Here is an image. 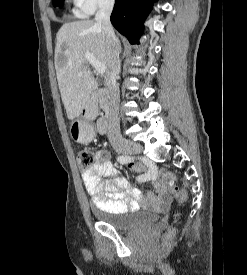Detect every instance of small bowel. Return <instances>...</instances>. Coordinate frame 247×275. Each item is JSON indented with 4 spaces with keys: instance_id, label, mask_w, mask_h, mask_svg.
Wrapping results in <instances>:
<instances>
[{
    "instance_id": "small-bowel-1",
    "label": "small bowel",
    "mask_w": 247,
    "mask_h": 275,
    "mask_svg": "<svg viewBox=\"0 0 247 275\" xmlns=\"http://www.w3.org/2000/svg\"><path fill=\"white\" fill-rule=\"evenodd\" d=\"M132 169L143 172L145 167L138 164ZM82 180L94 206L109 212L133 211L147 203L157 208H166L172 200L170 191L160 177L152 180L156 193H149L145 198L141 191L132 186L112 165L107 150H99L96 153L95 163L82 173Z\"/></svg>"
}]
</instances>
